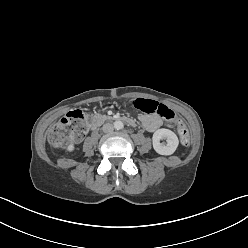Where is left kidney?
<instances>
[{"label": "left kidney", "mask_w": 248, "mask_h": 248, "mask_svg": "<svg viewBox=\"0 0 248 248\" xmlns=\"http://www.w3.org/2000/svg\"><path fill=\"white\" fill-rule=\"evenodd\" d=\"M166 140V144L160 143V140ZM153 148L160 155H171L173 154L178 145L179 140L177 135L169 129H158L154 132L153 137Z\"/></svg>", "instance_id": "5707ae66"}]
</instances>
